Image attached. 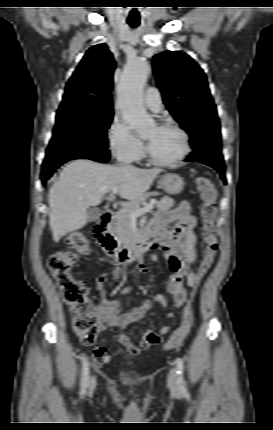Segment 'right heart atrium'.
<instances>
[{
  "instance_id": "d8ad5b80",
  "label": "right heart atrium",
  "mask_w": 273,
  "mask_h": 430,
  "mask_svg": "<svg viewBox=\"0 0 273 430\" xmlns=\"http://www.w3.org/2000/svg\"><path fill=\"white\" fill-rule=\"evenodd\" d=\"M108 143L112 154L124 163L138 160L144 152L143 142L118 116L113 118L108 128Z\"/></svg>"
}]
</instances>
